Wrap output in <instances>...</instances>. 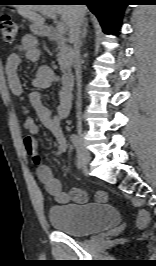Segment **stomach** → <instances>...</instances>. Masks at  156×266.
<instances>
[{"instance_id": "1", "label": "stomach", "mask_w": 156, "mask_h": 266, "mask_svg": "<svg viewBox=\"0 0 156 266\" xmlns=\"http://www.w3.org/2000/svg\"><path fill=\"white\" fill-rule=\"evenodd\" d=\"M33 31H34V33H36V34H40L41 32H42V30L41 29H39V28H35V29H33Z\"/></svg>"}]
</instances>
